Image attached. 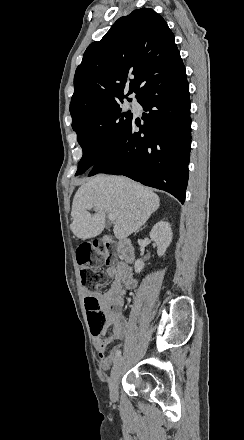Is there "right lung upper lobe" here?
<instances>
[{
	"mask_svg": "<svg viewBox=\"0 0 244 440\" xmlns=\"http://www.w3.org/2000/svg\"><path fill=\"white\" fill-rule=\"evenodd\" d=\"M182 63L165 20L150 8L134 10L87 47L75 72L70 110L132 93L137 97L161 69Z\"/></svg>",
	"mask_w": 244,
	"mask_h": 440,
	"instance_id": "right-lung-upper-lobe-1",
	"label": "right lung upper lobe"
}]
</instances>
